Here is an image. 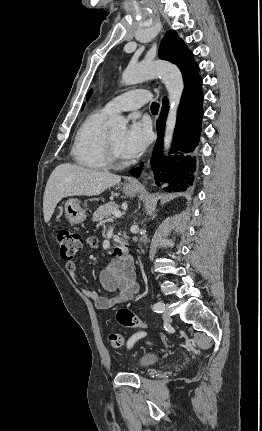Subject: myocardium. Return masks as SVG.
<instances>
[{
  "instance_id": "obj_1",
  "label": "myocardium",
  "mask_w": 262,
  "mask_h": 431,
  "mask_svg": "<svg viewBox=\"0 0 262 431\" xmlns=\"http://www.w3.org/2000/svg\"><path fill=\"white\" fill-rule=\"evenodd\" d=\"M106 158L107 163L114 168H122L127 165V161L119 157L115 146L113 145L110 134L106 137Z\"/></svg>"
}]
</instances>
